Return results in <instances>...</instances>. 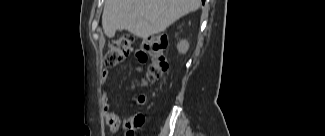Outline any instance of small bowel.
I'll return each mask as SVG.
<instances>
[{
  "label": "small bowel",
  "mask_w": 325,
  "mask_h": 136,
  "mask_svg": "<svg viewBox=\"0 0 325 136\" xmlns=\"http://www.w3.org/2000/svg\"><path fill=\"white\" fill-rule=\"evenodd\" d=\"M131 50L134 51L135 60L137 64H147V53H144L143 44H132ZM110 78V72L107 69L102 71V84L108 85ZM140 103L144 102V98L139 99ZM102 109L104 112L105 121L112 132L119 130L121 126L125 128L127 133H132L134 129L141 126L145 121V116L142 113H138L134 116L122 120L111 108L109 99L106 95L102 97Z\"/></svg>",
  "instance_id": "1"
}]
</instances>
